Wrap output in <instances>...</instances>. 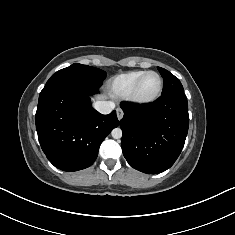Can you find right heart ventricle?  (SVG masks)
<instances>
[{"label": "right heart ventricle", "instance_id": "e07e8e85", "mask_svg": "<svg viewBox=\"0 0 235 235\" xmlns=\"http://www.w3.org/2000/svg\"><path fill=\"white\" fill-rule=\"evenodd\" d=\"M144 72V70H135L113 77L108 85L111 95L127 98L135 82Z\"/></svg>", "mask_w": 235, "mask_h": 235}]
</instances>
